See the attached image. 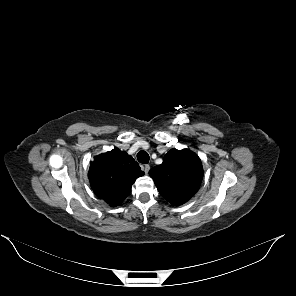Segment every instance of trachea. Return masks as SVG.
<instances>
[{
    "label": "trachea",
    "instance_id": "3493384b",
    "mask_svg": "<svg viewBox=\"0 0 296 296\" xmlns=\"http://www.w3.org/2000/svg\"><path fill=\"white\" fill-rule=\"evenodd\" d=\"M137 159L140 163L147 164L149 162L150 157L147 152L139 151L137 154Z\"/></svg>",
    "mask_w": 296,
    "mask_h": 296
}]
</instances>
